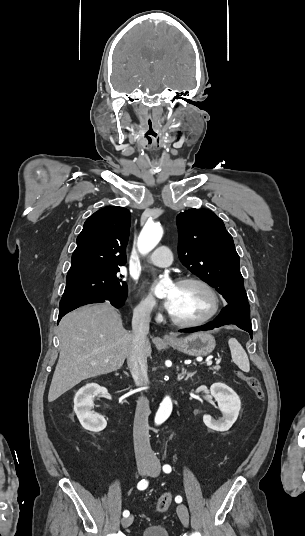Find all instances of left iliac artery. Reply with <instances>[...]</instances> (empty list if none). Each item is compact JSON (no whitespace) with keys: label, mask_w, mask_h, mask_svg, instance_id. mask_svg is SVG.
Here are the masks:
<instances>
[{"label":"left iliac artery","mask_w":305,"mask_h":536,"mask_svg":"<svg viewBox=\"0 0 305 536\" xmlns=\"http://www.w3.org/2000/svg\"><path fill=\"white\" fill-rule=\"evenodd\" d=\"M163 471H164L165 473H170V472H171V467H170L169 465H164V466H163ZM175 501H176L177 503H180V502L182 501V497H181V496H177V497L175 498Z\"/></svg>","instance_id":"obj_1"}]
</instances>
